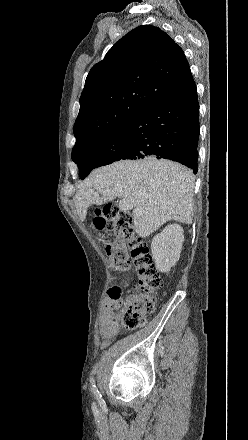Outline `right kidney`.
Masks as SVG:
<instances>
[{
  "instance_id": "1",
  "label": "right kidney",
  "mask_w": 248,
  "mask_h": 440,
  "mask_svg": "<svg viewBox=\"0 0 248 440\" xmlns=\"http://www.w3.org/2000/svg\"><path fill=\"white\" fill-rule=\"evenodd\" d=\"M183 228L178 224L166 226L151 242L156 269L169 272L179 261L184 242Z\"/></svg>"
}]
</instances>
